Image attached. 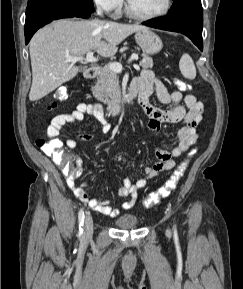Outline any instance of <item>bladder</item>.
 Segmentation results:
<instances>
[{"label":"bladder","instance_id":"obj_1","mask_svg":"<svg viewBox=\"0 0 243 289\" xmlns=\"http://www.w3.org/2000/svg\"><path fill=\"white\" fill-rule=\"evenodd\" d=\"M137 218L133 214H124L115 220V225L120 229H132L137 226Z\"/></svg>","mask_w":243,"mask_h":289}]
</instances>
